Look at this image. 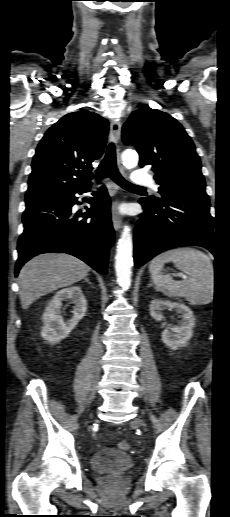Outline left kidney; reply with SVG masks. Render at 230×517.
I'll use <instances>...</instances> for the list:
<instances>
[{"label":"left kidney","mask_w":230,"mask_h":517,"mask_svg":"<svg viewBox=\"0 0 230 517\" xmlns=\"http://www.w3.org/2000/svg\"><path fill=\"white\" fill-rule=\"evenodd\" d=\"M166 309H174L177 313L181 314L182 317L178 325L165 329L161 334L162 341L171 349L176 350L179 347L185 346L191 339L193 335L192 329L195 326V318L191 309L182 303L153 300L149 305L150 315L156 321L162 320V312Z\"/></svg>","instance_id":"obj_1"}]
</instances>
